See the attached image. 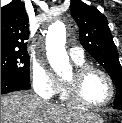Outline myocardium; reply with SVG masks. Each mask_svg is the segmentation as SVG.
Listing matches in <instances>:
<instances>
[{
    "instance_id": "f54148a6",
    "label": "myocardium",
    "mask_w": 122,
    "mask_h": 123,
    "mask_svg": "<svg viewBox=\"0 0 122 123\" xmlns=\"http://www.w3.org/2000/svg\"><path fill=\"white\" fill-rule=\"evenodd\" d=\"M91 72H97L101 74L109 84L110 94L108 98L101 103L88 102L82 97L80 93V88L83 80ZM63 83H64L65 96L67 100L72 104L87 107V108L104 107L111 102L115 94L114 82L110 77V75L103 69L90 64L77 66L75 70L72 72V77L69 79H65Z\"/></svg>"
}]
</instances>
